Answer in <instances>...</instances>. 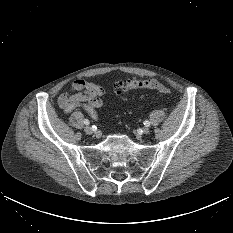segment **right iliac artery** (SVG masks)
Instances as JSON below:
<instances>
[{
    "instance_id": "82829eb1",
    "label": "right iliac artery",
    "mask_w": 233,
    "mask_h": 233,
    "mask_svg": "<svg viewBox=\"0 0 233 233\" xmlns=\"http://www.w3.org/2000/svg\"><path fill=\"white\" fill-rule=\"evenodd\" d=\"M89 123H90V122H89L88 119H85V120H84V124H85V125H88Z\"/></svg>"
}]
</instances>
